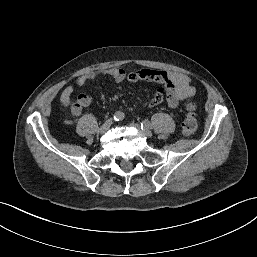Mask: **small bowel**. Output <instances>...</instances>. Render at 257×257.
Listing matches in <instances>:
<instances>
[{"instance_id":"1","label":"small bowel","mask_w":257,"mask_h":257,"mask_svg":"<svg viewBox=\"0 0 257 257\" xmlns=\"http://www.w3.org/2000/svg\"><path fill=\"white\" fill-rule=\"evenodd\" d=\"M107 77L113 79L117 83L128 81L135 83L139 81L154 82L160 85L159 90L149 102V107H155L161 104L164 99L171 109H177L180 106H188L196 94V90L191 80L186 75L151 68H143L133 72H127L122 68H106L96 72H89L81 75L76 80L79 87L85 86L88 82L96 79ZM74 88L66 86L61 93V101L65 105L71 104V113L73 116H80L83 109L92 102V97L88 93L80 94L77 99L72 102Z\"/></svg>"}]
</instances>
